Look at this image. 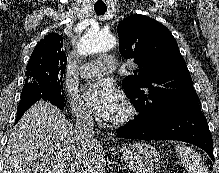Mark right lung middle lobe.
<instances>
[{
	"label": "right lung middle lobe",
	"instance_id": "right-lung-middle-lobe-1",
	"mask_svg": "<svg viewBox=\"0 0 219 173\" xmlns=\"http://www.w3.org/2000/svg\"><path fill=\"white\" fill-rule=\"evenodd\" d=\"M25 72V84L22 95L41 93L51 101L63 106L65 94L62 78L65 68L58 65H44L38 62L29 63Z\"/></svg>",
	"mask_w": 219,
	"mask_h": 173
}]
</instances>
